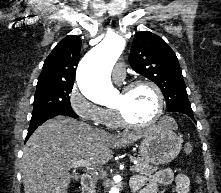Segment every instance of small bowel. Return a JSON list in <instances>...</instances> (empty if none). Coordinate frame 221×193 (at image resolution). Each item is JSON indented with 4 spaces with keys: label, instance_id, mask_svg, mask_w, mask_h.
Segmentation results:
<instances>
[{
    "label": "small bowel",
    "instance_id": "1",
    "mask_svg": "<svg viewBox=\"0 0 221 193\" xmlns=\"http://www.w3.org/2000/svg\"><path fill=\"white\" fill-rule=\"evenodd\" d=\"M175 183L176 193H189L190 179L184 173L174 174L169 168L160 169L149 176H135L131 188L138 193H157L160 185Z\"/></svg>",
    "mask_w": 221,
    "mask_h": 193
}]
</instances>
